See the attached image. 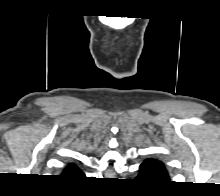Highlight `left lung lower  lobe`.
<instances>
[{"mask_svg":"<svg viewBox=\"0 0 220 196\" xmlns=\"http://www.w3.org/2000/svg\"><path fill=\"white\" fill-rule=\"evenodd\" d=\"M137 179L145 183H165L166 179L150 162L144 161L139 167Z\"/></svg>","mask_w":220,"mask_h":196,"instance_id":"left-lung-lower-lobe-1","label":"left lung lower lobe"}]
</instances>
